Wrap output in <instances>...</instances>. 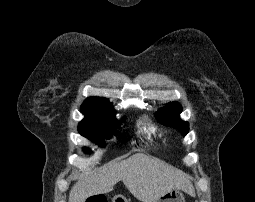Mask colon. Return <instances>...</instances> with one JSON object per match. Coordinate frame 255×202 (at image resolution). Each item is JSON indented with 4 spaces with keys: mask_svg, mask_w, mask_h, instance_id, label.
Listing matches in <instances>:
<instances>
[{
    "mask_svg": "<svg viewBox=\"0 0 255 202\" xmlns=\"http://www.w3.org/2000/svg\"><path fill=\"white\" fill-rule=\"evenodd\" d=\"M86 202H107V201L99 197H91Z\"/></svg>",
    "mask_w": 255,
    "mask_h": 202,
    "instance_id": "1",
    "label": "colon"
}]
</instances>
